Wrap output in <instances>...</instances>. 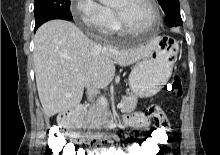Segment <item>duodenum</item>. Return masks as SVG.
I'll list each match as a JSON object with an SVG mask.
<instances>
[{
    "instance_id": "410a0bca",
    "label": "duodenum",
    "mask_w": 220,
    "mask_h": 155,
    "mask_svg": "<svg viewBox=\"0 0 220 155\" xmlns=\"http://www.w3.org/2000/svg\"><path fill=\"white\" fill-rule=\"evenodd\" d=\"M82 111L83 107L81 105H77L63 112L59 120L60 126L64 130L66 136L75 143H80V145L84 146V150H86L87 155H90V153H92L91 155H102L105 150L101 149V146L91 145L89 142L95 141V137L97 138L96 140H103L104 137L100 134L88 137L81 134L75 128V122L81 116Z\"/></svg>"
}]
</instances>
